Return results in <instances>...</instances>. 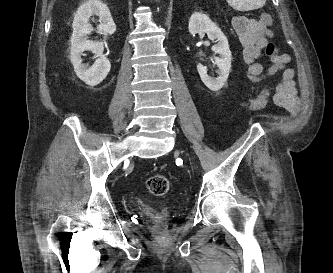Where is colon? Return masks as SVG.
<instances>
[{
	"mask_svg": "<svg viewBox=\"0 0 333 273\" xmlns=\"http://www.w3.org/2000/svg\"><path fill=\"white\" fill-rule=\"evenodd\" d=\"M261 20L268 26H271L273 23L272 16L268 13L262 14ZM265 54L268 57H271L275 54V47L273 43H268L266 45ZM271 92V88H263L256 94L254 98L246 102V107L251 111H258L263 109L268 102ZM147 187L152 195L163 196L169 191L170 183L167 177L164 175L155 174L147 180Z\"/></svg>",
	"mask_w": 333,
	"mask_h": 273,
	"instance_id": "5ec220e1",
	"label": "colon"
}]
</instances>
